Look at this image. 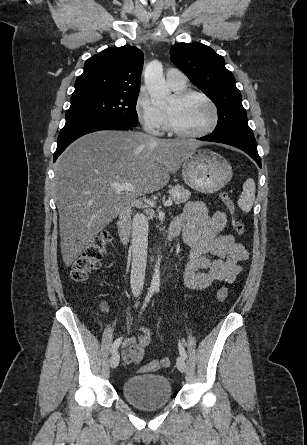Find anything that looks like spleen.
I'll list each match as a JSON object with an SVG mask.
<instances>
[{"mask_svg": "<svg viewBox=\"0 0 307 445\" xmlns=\"http://www.w3.org/2000/svg\"><path fill=\"white\" fill-rule=\"evenodd\" d=\"M255 190L253 178H247L243 184L242 196L238 198V206H240L244 212H250L255 200Z\"/></svg>", "mask_w": 307, "mask_h": 445, "instance_id": "3e777b00", "label": "spleen"}]
</instances>
